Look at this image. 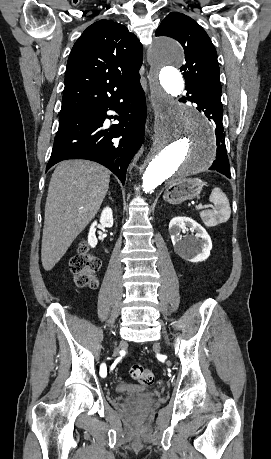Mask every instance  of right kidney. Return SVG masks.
Returning <instances> with one entry per match:
<instances>
[{
	"label": "right kidney",
	"mask_w": 271,
	"mask_h": 459,
	"mask_svg": "<svg viewBox=\"0 0 271 459\" xmlns=\"http://www.w3.org/2000/svg\"><path fill=\"white\" fill-rule=\"evenodd\" d=\"M100 224L105 226V228H112L113 226V214L111 208H104L101 218ZM97 222H93L92 226H90V231L88 233V243L91 247H95L97 245V237L95 235Z\"/></svg>",
	"instance_id": "obj_1"
}]
</instances>
